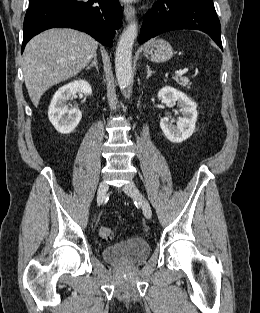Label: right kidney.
Here are the masks:
<instances>
[{"label": "right kidney", "instance_id": "1", "mask_svg": "<svg viewBox=\"0 0 260 313\" xmlns=\"http://www.w3.org/2000/svg\"><path fill=\"white\" fill-rule=\"evenodd\" d=\"M77 92L91 95L92 88L85 80L74 81L59 88L51 100L48 117L54 128L61 134L71 133L82 118L79 109H69L66 105V102Z\"/></svg>", "mask_w": 260, "mask_h": 313}]
</instances>
